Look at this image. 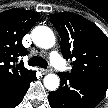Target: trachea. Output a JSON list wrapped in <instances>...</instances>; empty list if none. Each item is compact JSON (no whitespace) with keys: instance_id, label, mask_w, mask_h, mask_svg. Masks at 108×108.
I'll list each match as a JSON object with an SVG mask.
<instances>
[{"instance_id":"obj_1","label":"trachea","mask_w":108,"mask_h":108,"mask_svg":"<svg viewBox=\"0 0 108 108\" xmlns=\"http://www.w3.org/2000/svg\"><path fill=\"white\" fill-rule=\"evenodd\" d=\"M28 64L30 66H39L41 68H47V66H48L47 61L44 58L39 57V56H34V57L30 58L28 61Z\"/></svg>"}]
</instances>
